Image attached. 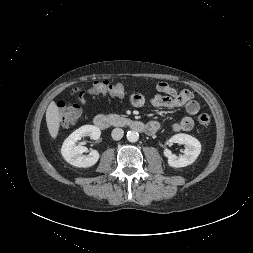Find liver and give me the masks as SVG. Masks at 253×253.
I'll use <instances>...</instances> for the list:
<instances>
[{"label":"liver","instance_id":"obj_1","mask_svg":"<svg viewBox=\"0 0 253 253\" xmlns=\"http://www.w3.org/2000/svg\"><path fill=\"white\" fill-rule=\"evenodd\" d=\"M46 122L50 136L55 139L59 132L61 117L54 101L50 102L46 110Z\"/></svg>","mask_w":253,"mask_h":253}]
</instances>
